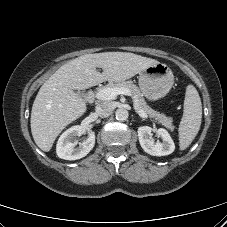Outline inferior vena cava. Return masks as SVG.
<instances>
[{
	"instance_id": "obj_1",
	"label": "inferior vena cava",
	"mask_w": 227,
	"mask_h": 227,
	"mask_svg": "<svg viewBox=\"0 0 227 227\" xmlns=\"http://www.w3.org/2000/svg\"><path fill=\"white\" fill-rule=\"evenodd\" d=\"M113 111V106L110 102H102L95 107L96 114L101 118L108 117Z\"/></svg>"
}]
</instances>
